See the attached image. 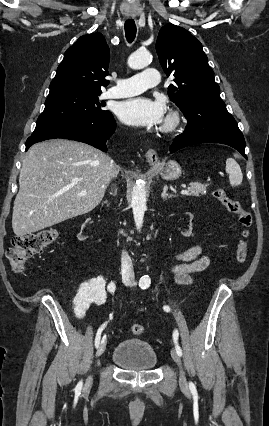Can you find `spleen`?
<instances>
[{
    "label": "spleen",
    "mask_w": 269,
    "mask_h": 426,
    "mask_svg": "<svg viewBox=\"0 0 269 426\" xmlns=\"http://www.w3.org/2000/svg\"><path fill=\"white\" fill-rule=\"evenodd\" d=\"M226 173L229 176V182L232 187L241 185L243 174L237 161L233 158H228L226 161Z\"/></svg>",
    "instance_id": "3e777b00"
}]
</instances>
